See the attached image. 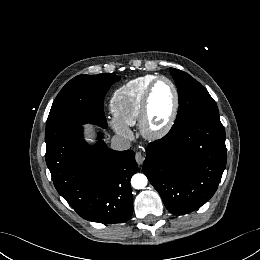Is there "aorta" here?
I'll return each mask as SVG.
<instances>
[{"label": "aorta", "mask_w": 260, "mask_h": 260, "mask_svg": "<svg viewBox=\"0 0 260 260\" xmlns=\"http://www.w3.org/2000/svg\"><path fill=\"white\" fill-rule=\"evenodd\" d=\"M148 179L144 174L137 173L131 178V185L135 189H143L146 187Z\"/></svg>", "instance_id": "1"}]
</instances>
